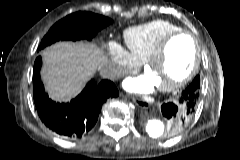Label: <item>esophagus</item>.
I'll list each match as a JSON object with an SVG mask.
<instances>
[{"label":"esophagus","mask_w":240,"mask_h":160,"mask_svg":"<svg viewBox=\"0 0 240 160\" xmlns=\"http://www.w3.org/2000/svg\"><path fill=\"white\" fill-rule=\"evenodd\" d=\"M132 101L139 107L141 108H147L148 105H149V102L145 99H140V98H136V97H133L132 98Z\"/></svg>","instance_id":"1"}]
</instances>
